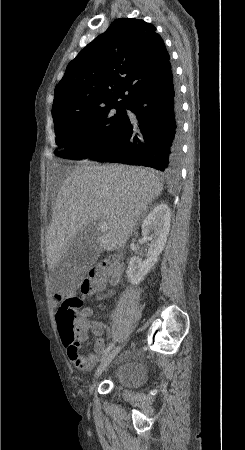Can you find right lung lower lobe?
Returning <instances> with one entry per match:
<instances>
[{"mask_svg": "<svg viewBox=\"0 0 245 450\" xmlns=\"http://www.w3.org/2000/svg\"><path fill=\"white\" fill-rule=\"evenodd\" d=\"M128 109L137 122L127 117L118 138L88 158L143 165L176 175L181 165V106L171 68L143 89Z\"/></svg>", "mask_w": 245, "mask_h": 450, "instance_id": "1", "label": "right lung lower lobe"}]
</instances>
